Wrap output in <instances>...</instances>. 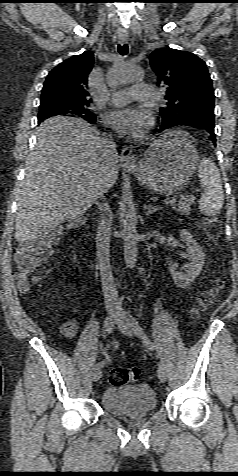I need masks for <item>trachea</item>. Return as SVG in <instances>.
<instances>
[{"instance_id":"3493384b","label":"trachea","mask_w":238,"mask_h":476,"mask_svg":"<svg viewBox=\"0 0 238 476\" xmlns=\"http://www.w3.org/2000/svg\"><path fill=\"white\" fill-rule=\"evenodd\" d=\"M128 51H129V48H128L127 44L118 45V52L121 55H126L128 53Z\"/></svg>"}]
</instances>
